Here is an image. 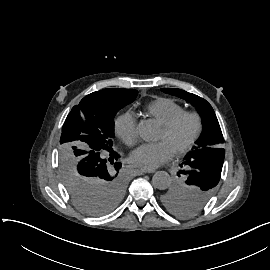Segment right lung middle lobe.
I'll use <instances>...</instances> for the list:
<instances>
[{"label": "right lung middle lobe", "instance_id": "obj_1", "mask_svg": "<svg viewBox=\"0 0 270 270\" xmlns=\"http://www.w3.org/2000/svg\"><path fill=\"white\" fill-rule=\"evenodd\" d=\"M137 94L133 89L93 92L72 108L63 124L58 144L60 179L72 204L86 215L109 212L125 195L127 178L112 148L113 118Z\"/></svg>", "mask_w": 270, "mask_h": 270}]
</instances>
